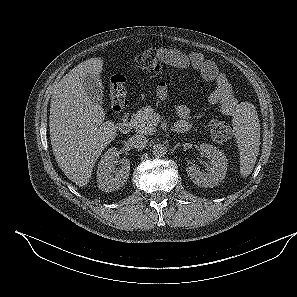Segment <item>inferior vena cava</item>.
Instances as JSON below:
<instances>
[{
    "label": "inferior vena cava",
    "instance_id": "obj_1",
    "mask_svg": "<svg viewBox=\"0 0 297 297\" xmlns=\"http://www.w3.org/2000/svg\"><path fill=\"white\" fill-rule=\"evenodd\" d=\"M130 143L137 149H143L147 146L148 140L143 135H135L130 138Z\"/></svg>",
    "mask_w": 297,
    "mask_h": 297
}]
</instances>
